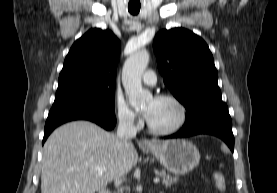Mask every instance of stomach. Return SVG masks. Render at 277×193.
I'll use <instances>...</instances> for the list:
<instances>
[{
    "label": "stomach",
    "mask_w": 277,
    "mask_h": 193,
    "mask_svg": "<svg viewBox=\"0 0 277 193\" xmlns=\"http://www.w3.org/2000/svg\"><path fill=\"white\" fill-rule=\"evenodd\" d=\"M147 149L155 155L166 170L176 175L190 172L200 160L196 146L185 139L157 141Z\"/></svg>",
    "instance_id": "obj_1"
}]
</instances>
